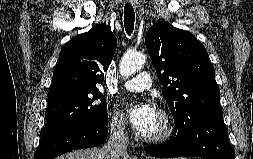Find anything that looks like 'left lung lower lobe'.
<instances>
[{
    "label": "left lung lower lobe",
    "instance_id": "left-lung-lower-lobe-1",
    "mask_svg": "<svg viewBox=\"0 0 253 159\" xmlns=\"http://www.w3.org/2000/svg\"><path fill=\"white\" fill-rule=\"evenodd\" d=\"M178 129L177 136L164 144L147 146L154 157L196 156L205 159H235L223 121V112L192 115Z\"/></svg>",
    "mask_w": 253,
    "mask_h": 159
}]
</instances>
